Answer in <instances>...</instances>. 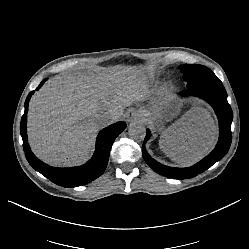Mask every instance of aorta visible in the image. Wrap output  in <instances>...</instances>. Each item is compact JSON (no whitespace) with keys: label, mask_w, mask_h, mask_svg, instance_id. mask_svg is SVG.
Returning <instances> with one entry per match:
<instances>
[{"label":"aorta","mask_w":249,"mask_h":249,"mask_svg":"<svg viewBox=\"0 0 249 249\" xmlns=\"http://www.w3.org/2000/svg\"><path fill=\"white\" fill-rule=\"evenodd\" d=\"M128 134L131 139L136 141H142L146 135L145 127L140 123L131 124L128 129Z\"/></svg>","instance_id":"762f6f07"}]
</instances>
